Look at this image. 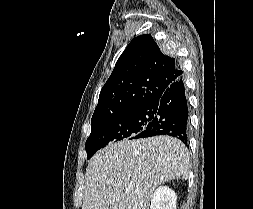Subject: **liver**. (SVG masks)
Instances as JSON below:
<instances>
[{"label":"liver","instance_id":"6515ba94","mask_svg":"<svg viewBox=\"0 0 253 209\" xmlns=\"http://www.w3.org/2000/svg\"><path fill=\"white\" fill-rule=\"evenodd\" d=\"M189 173L187 148L176 138L155 136L110 144L88 164L82 209H149L157 186L187 179Z\"/></svg>","mask_w":253,"mask_h":209}]
</instances>
